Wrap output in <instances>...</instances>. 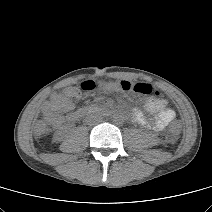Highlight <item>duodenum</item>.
I'll return each instance as SVG.
<instances>
[{
  "mask_svg": "<svg viewBox=\"0 0 212 212\" xmlns=\"http://www.w3.org/2000/svg\"><path fill=\"white\" fill-rule=\"evenodd\" d=\"M89 111H90L89 108H84V109L80 110L79 115H80V116L85 115V114H87Z\"/></svg>",
  "mask_w": 212,
  "mask_h": 212,
  "instance_id": "obj_1",
  "label": "duodenum"
}]
</instances>
